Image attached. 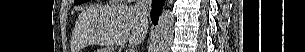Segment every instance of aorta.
Listing matches in <instances>:
<instances>
[{
  "label": "aorta",
  "mask_w": 305,
  "mask_h": 52,
  "mask_svg": "<svg viewBox=\"0 0 305 52\" xmlns=\"http://www.w3.org/2000/svg\"><path fill=\"white\" fill-rule=\"evenodd\" d=\"M174 15L170 10H163L151 46V52H168L173 39Z\"/></svg>",
  "instance_id": "obj_1"
}]
</instances>
